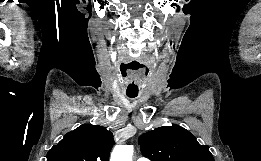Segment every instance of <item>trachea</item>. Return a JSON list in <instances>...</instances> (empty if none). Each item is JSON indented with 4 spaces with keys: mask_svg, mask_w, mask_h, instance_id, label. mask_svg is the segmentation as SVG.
I'll return each instance as SVG.
<instances>
[{
    "mask_svg": "<svg viewBox=\"0 0 261 161\" xmlns=\"http://www.w3.org/2000/svg\"><path fill=\"white\" fill-rule=\"evenodd\" d=\"M129 98H135L136 95H127Z\"/></svg>",
    "mask_w": 261,
    "mask_h": 161,
    "instance_id": "3493384b",
    "label": "trachea"
}]
</instances>
